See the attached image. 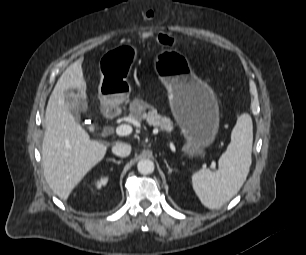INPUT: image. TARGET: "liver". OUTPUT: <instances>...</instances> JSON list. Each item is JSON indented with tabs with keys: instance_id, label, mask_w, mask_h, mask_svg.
I'll list each match as a JSON object with an SVG mask.
<instances>
[{
	"instance_id": "6515ba94",
	"label": "liver",
	"mask_w": 306,
	"mask_h": 255,
	"mask_svg": "<svg viewBox=\"0 0 306 255\" xmlns=\"http://www.w3.org/2000/svg\"><path fill=\"white\" fill-rule=\"evenodd\" d=\"M70 88L79 89L82 98L87 101L80 61H75L63 72L45 112L46 130L42 145L44 176L53 192L63 200L107 151V145L91 140L70 113L64 96V91Z\"/></svg>"
}]
</instances>
